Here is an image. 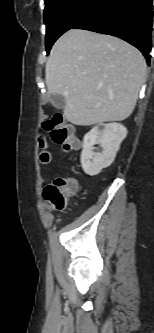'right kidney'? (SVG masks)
<instances>
[{"label": "right kidney", "mask_w": 154, "mask_h": 333, "mask_svg": "<svg viewBox=\"0 0 154 333\" xmlns=\"http://www.w3.org/2000/svg\"><path fill=\"white\" fill-rule=\"evenodd\" d=\"M127 136V129L119 123L100 124L93 127L83 139L81 165L83 171L94 176L115 160L121 142ZM99 144L101 152H94V145Z\"/></svg>", "instance_id": "1"}]
</instances>
